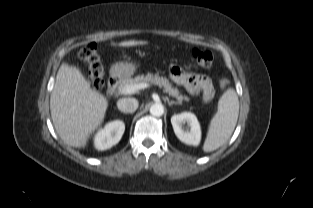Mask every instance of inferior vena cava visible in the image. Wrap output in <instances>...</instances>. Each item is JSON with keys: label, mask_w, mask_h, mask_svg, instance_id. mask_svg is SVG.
Masks as SVG:
<instances>
[{"label": "inferior vena cava", "mask_w": 313, "mask_h": 208, "mask_svg": "<svg viewBox=\"0 0 313 208\" xmlns=\"http://www.w3.org/2000/svg\"><path fill=\"white\" fill-rule=\"evenodd\" d=\"M117 107L121 112L133 113L138 108V101L135 98H122L117 101Z\"/></svg>", "instance_id": "1"}]
</instances>
